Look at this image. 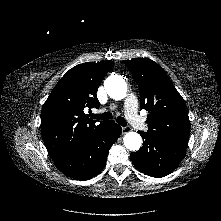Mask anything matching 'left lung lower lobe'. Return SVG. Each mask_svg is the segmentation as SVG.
<instances>
[{
	"mask_svg": "<svg viewBox=\"0 0 221 221\" xmlns=\"http://www.w3.org/2000/svg\"><path fill=\"white\" fill-rule=\"evenodd\" d=\"M143 146L131 153L132 163L143 173L152 177H164L170 174L181 162L186 147L173 144L139 131Z\"/></svg>",
	"mask_w": 221,
	"mask_h": 221,
	"instance_id": "obj_1",
	"label": "left lung lower lobe"
}]
</instances>
